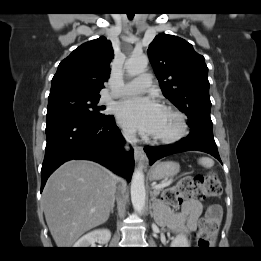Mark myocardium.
Listing matches in <instances>:
<instances>
[{
	"label": "myocardium",
	"mask_w": 261,
	"mask_h": 261,
	"mask_svg": "<svg viewBox=\"0 0 261 261\" xmlns=\"http://www.w3.org/2000/svg\"><path fill=\"white\" fill-rule=\"evenodd\" d=\"M165 112L172 115L177 122V128L174 133L167 136H155L154 141L161 144H173L183 139L188 133L187 117L183 112L176 108L168 107Z\"/></svg>",
	"instance_id": "myocardium-1"
}]
</instances>
